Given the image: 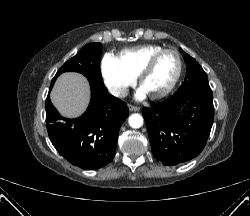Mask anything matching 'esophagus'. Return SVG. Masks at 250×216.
<instances>
[{
    "instance_id": "34e87169",
    "label": "esophagus",
    "mask_w": 250,
    "mask_h": 216,
    "mask_svg": "<svg viewBox=\"0 0 250 216\" xmlns=\"http://www.w3.org/2000/svg\"><path fill=\"white\" fill-rule=\"evenodd\" d=\"M128 107H129V110H130V111H134V112H136V111H139V110H140V108H139V107H137V106L128 105Z\"/></svg>"
}]
</instances>
